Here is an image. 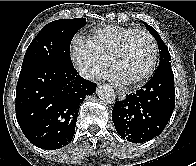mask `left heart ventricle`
Instances as JSON below:
<instances>
[{
	"mask_svg": "<svg viewBox=\"0 0 196 166\" xmlns=\"http://www.w3.org/2000/svg\"><path fill=\"white\" fill-rule=\"evenodd\" d=\"M152 61V46L143 33H136L128 44L125 55L118 62L115 72L126 82L141 76Z\"/></svg>",
	"mask_w": 196,
	"mask_h": 166,
	"instance_id": "1",
	"label": "left heart ventricle"
}]
</instances>
